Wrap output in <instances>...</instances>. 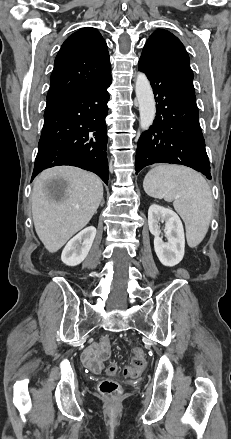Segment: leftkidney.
Returning a JSON list of instances; mask_svg holds the SVG:
<instances>
[{
    "label": "left kidney",
    "mask_w": 231,
    "mask_h": 439,
    "mask_svg": "<svg viewBox=\"0 0 231 439\" xmlns=\"http://www.w3.org/2000/svg\"><path fill=\"white\" fill-rule=\"evenodd\" d=\"M165 222L164 243L160 237L159 223ZM148 225L154 235V249L160 262L165 266H175L184 256L185 236L183 224L179 216L171 209L152 204L148 210Z\"/></svg>",
    "instance_id": "left-kidney-1"
}]
</instances>
